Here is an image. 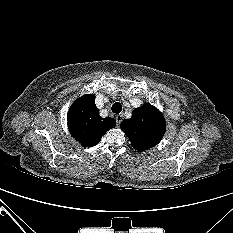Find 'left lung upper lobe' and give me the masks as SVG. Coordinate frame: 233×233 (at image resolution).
<instances>
[{
    "label": "left lung upper lobe",
    "mask_w": 233,
    "mask_h": 233,
    "mask_svg": "<svg viewBox=\"0 0 233 233\" xmlns=\"http://www.w3.org/2000/svg\"><path fill=\"white\" fill-rule=\"evenodd\" d=\"M121 129L129 137L132 146L139 152L156 146L166 130L162 113L149 103L135 108L132 117L121 123Z\"/></svg>",
    "instance_id": "5c2ea615"
}]
</instances>
